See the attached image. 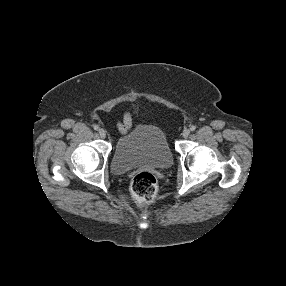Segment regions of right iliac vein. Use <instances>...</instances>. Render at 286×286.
<instances>
[{
  "mask_svg": "<svg viewBox=\"0 0 286 286\" xmlns=\"http://www.w3.org/2000/svg\"><path fill=\"white\" fill-rule=\"evenodd\" d=\"M99 135L101 138H105L106 137V131L104 129H100L99 130Z\"/></svg>",
  "mask_w": 286,
  "mask_h": 286,
  "instance_id": "obj_1",
  "label": "right iliac vein"
}]
</instances>
